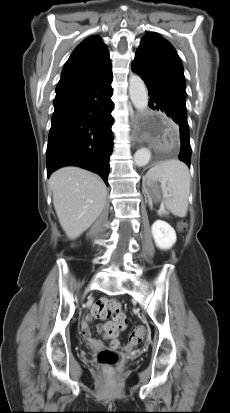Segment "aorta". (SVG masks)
<instances>
[{
    "label": "aorta",
    "instance_id": "obj_1",
    "mask_svg": "<svg viewBox=\"0 0 230 413\" xmlns=\"http://www.w3.org/2000/svg\"><path fill=\"white\" fill-rule=\"evenodd\" d=\"M129 95L138 111H144L148 107L149 99L145 83L139 75L134 73L129 77ZM150 158L151 153L147 148H141L134 154V162L139 167L148 164Z\"/></svg>",
    "mask_w": 230,
    "mask_h": 413
}]
</instances>
